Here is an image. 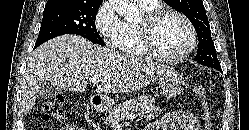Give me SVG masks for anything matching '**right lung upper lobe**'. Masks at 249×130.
I'll use <instances>...</instances> for the list:
<instances>
[{
  "label": "right lung upper lobe",
  "mask_w": 249,
  "mask_h": 130,
  "mask_svg": "<svg viewBox=\"0 0 249 130\" xmlns=\"http://www.w3.org/2000/svg\"><path fill=\"white\" fill-rule=\"evenodd\" d=\"M59 1H72V2H76V3H85V4L102 3V0H48L46 5L56 3Z\"/></svg>",
  "instance_id": "1"
}]
</instances>
